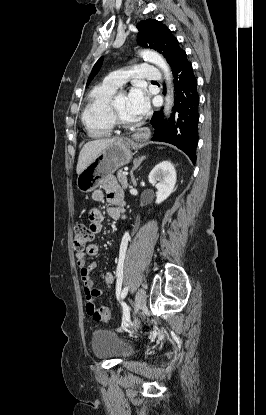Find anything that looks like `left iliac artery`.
Here are the masks:
<instances>
[{"label": "left iliac artery", "instance_id": "obj_1", "mask_svg": "<svg viewBox=\"0 0 266 415\" xmlns=\"http://www.w3.org/2000/svg\"><path fill=\"white\" fill-rule=\"evenodd\" d=\"M123 281V271L119 270L117 271V283H116V292L119 293L121 290V285ZM128 292V287H125L123 291L121 292V298H125Z\"/></svg>", "mask_w": 266, "mask_h": 415}]
</instances>
